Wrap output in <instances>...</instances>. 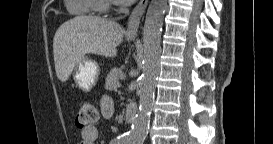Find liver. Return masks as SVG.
Masks as SVG:
<instances>
[{
	"label": "liver",
	"instance_id": "obj_1",
	"mask_svg": "<svg viewBox=\"0 0 273 144\" xmlns=\"http://www.w3.org/2000/svg\"><path fill=\"white\" fill-rule=\"evenodd\" d=\"M124 29L116 22L77 16L63 23L53 39L55 70L58 79H69L74 67L86 54L113 58L123 41Z\"/></svg>",
	"mask_w": 273,
	"mask_h": 144
}]
</instances>
